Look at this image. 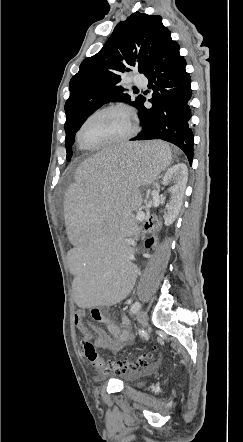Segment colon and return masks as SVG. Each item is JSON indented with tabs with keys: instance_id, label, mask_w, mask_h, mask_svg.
I'll return each instance as SVG.
<instances>
[{
	"instance_id": "colon-1",
	"label": "colon",
	"mask_w": 243,
	"mask_h": 442,
	"mask_svg": "<svg viewBox=\"0 0 243 442\" xmlns=\"http://www.w3.org/2000/svg\"><path fill=\"white\" fill-rule=\"evenodd\" d=\"M158 222V217L153 216L143 224L144 235H142L140 241L145 243L146 248H148L151 254L160 251V248L157 246V242L161 238L159 234L161 227L156 225ZM82 353L94 369L105 374L135 371L144 366L154 364V357L151 353H143L139 356H123L121 360L106 359L90 342H85L82 345Z\"/></svg>"
}]
</instances>
